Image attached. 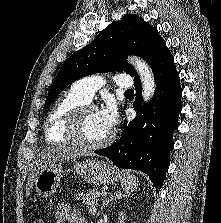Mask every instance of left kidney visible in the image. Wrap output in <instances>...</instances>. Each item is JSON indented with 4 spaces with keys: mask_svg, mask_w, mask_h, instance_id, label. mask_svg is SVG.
Masks as SVG:
<instances>
[{
    "mask_svg": "<svg viewBox=\"0 0 221 223\" xmlns=\"http://www.w3.org/2000/svg\"><path fill=\"white\" fill-rule=\"evenodd\" d=\"M119 223H125L126 216L123 212H119Z\"/></svg>",
    "mask_w": 221,
    "mask_h": 223,
    "instance_id": "5707ae66",
    "label": "left kidney"
}]
</instances>
